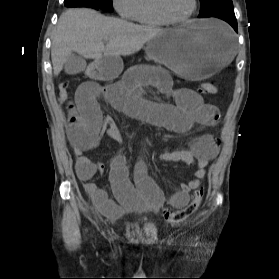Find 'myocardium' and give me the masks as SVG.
Returning <instances> with one entry per match:
<instances>
[{
	"label": "myocardium",
	"instance_id": "1",
	"mask_svg": "<svg viewBox=\"0 0 279 279\" xmlns=\"http://www.w3.org/2000/svg\"><path fill=\"white\" fill-rule=\"evenodd\" d=\"M155 5L159 15L170 24H182L189 21L198 9V0H193V6L190 12L184 17L175 18L169 14L165 6V0H155Z\"/></svg>",
	"mask_w": 279,
	"mask_h": 279
}]
</instances>
